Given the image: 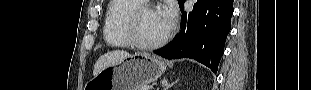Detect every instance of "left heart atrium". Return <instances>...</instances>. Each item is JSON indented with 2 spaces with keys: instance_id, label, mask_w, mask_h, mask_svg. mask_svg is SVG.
<instances>
[{
  "instance_id": "39dd6f15",
  "label": "left heart atrium",
  "mask_w": 311,
  "mask_h": 90,
  "mask_svg": "<svg viewBox=\"0 0 311 90\" xmlns=\"http://www.w3.org/2000/svg\"><path fill=\"white\" fill-rule=\"evenodd\" d=\"M160 14L162 16V18L164 19L166 25L171 28L174 21H175V11L174 9L169 6V7H166L162 10H160Z\"/></svg>"
}]
</instances>
